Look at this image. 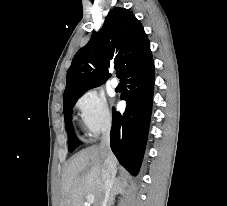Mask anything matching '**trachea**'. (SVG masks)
<instances>
[{
    "label": "trachea",
    "instance_id": "trachea-1",
    "mask_svg": "<svg viewBox=\"0 0 227 206\" xmlns=\"http://www.w3.org/2000/svg\"><path fill=\"white\" fill-rule=\"evenodd\" d=\"M115 68H116V69H119V66H116Z\"/></svg>",
    "mask_w": 227,
    "mask_h": 206
}]
</instances>
